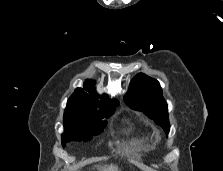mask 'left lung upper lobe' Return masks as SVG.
<instances>
[{"label":"left lung upper lobe","instance_id":"1","mask_svg":"<svg viewBox=\"0 0 223 171\" xmlns=\"http://www.w3.org/2000/svg\"><path fill=\"white\" fill-rule=\"evenodd\" d=\"M125 102L133 109L142 111L168 134V107L157 80L143 73L137 74L130 82Z\"/></svg>","mask_w":223,"mask_h":171}]
</instances>
